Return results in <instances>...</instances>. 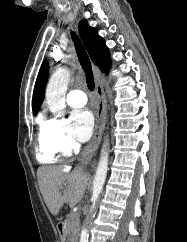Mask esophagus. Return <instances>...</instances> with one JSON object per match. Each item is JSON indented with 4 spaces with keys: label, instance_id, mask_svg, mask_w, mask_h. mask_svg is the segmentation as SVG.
Returning <instances> with one entry per match:
<instances>
[{
    "label": "esophagus",
    "instance_id": "1",
    "mask_svg": "<svg viewBox=\"0 0 187 242\" xmlns=\"http://www.w3.org/2000/svg\"><path fill=\"white\" fill-rule=\"evenodd\" d=\"M94 73L96 77V94L98 97L97 116L93 137L90 143L84 149L81 159V165L84 167L88 165L98 149L104 129V121L106 115V97L103 85L99 80L100 72L97 68H95Z\"/></svg>",
    "mask_w": 187,
    "mask_h": 242
}]
</instances>
